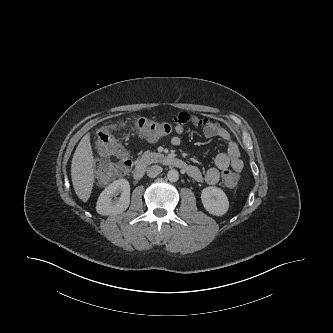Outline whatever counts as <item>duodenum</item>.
Returning a JSON list of instances; mask_svg holds the SVG:
<instances>
[{"instance_id":"410a0bca","label":"duodenum","mask_w":333,"mask_h":333,"mask_svg":"<svg viewBox=\"0 0 333 333\" xmlns=\"http://www.w3.org/2000/svg\"><path fill=\"white\" fill-rule=\"evenodd\" d=\"M154 159L155 158H151V157H143V158L139 159L136 162L135 167L132 172L134 179H137V180L140 179L144 175L148 165ZM157 160L166 166H170V167H174V168H178V169H182V170H186V171L190 170V165H188L184 160H182L181 158H178V157L163 155V156L158 157Z\"/></svg>"}]
</instances>
